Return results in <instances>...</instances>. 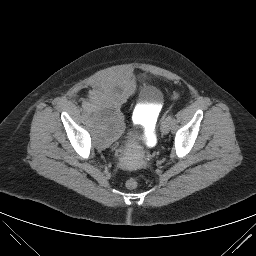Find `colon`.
Masks as SVG:
<instances>
[{
	"mask_svg": "<svg viewBox=\"0 0 256 256\" xmlns=\"http://www.w3.org/2000/svg\"><path fill=\"white\" fill-rule=\"evenodd\" d=\"M140 181L137 177H131L126 181V187L128 189H135L138 187Z\"/></svg>",
	"mask_w": 256,
	"mask_h": 256,
	"instance_id": "colon-1",
	"label": "colon"
}]
</instances>
